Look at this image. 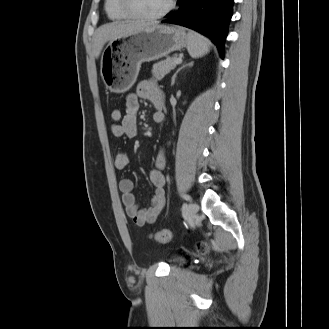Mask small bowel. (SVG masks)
<instances>
[{"label":"small bowel","instance_id":"small-bowel-1","mask_svg":"<svg viewBox=\"0 0 329 329\" xmlns=\"http://www.w3.org/2000/svg\"><path fill=\"white\" fill-rule=\"evenodd\" d=\"M146 100L155 109L154 116L163 108V92L152 81H144L135 93L129 94L125 100V115L119 124L112 123L111 133L115 137L134 138L138 135V124L136 114L140 106V100ZM129 165V158L125 153L119 152L115 158V167L123 171ZM165 158L159 154L155 160V168L150 172V181L154 186V195L146 208H141L137 203L134 194V184L129 178H122L119 181V189L122 195V203L127 216L138 226H145L152 223L160 215L165 206V175L163 168Z\"/></svg>","mask_w":329,"mask_h":329}]
</instances>
